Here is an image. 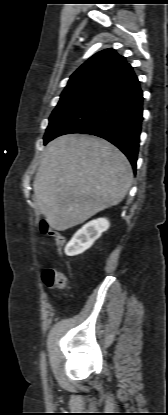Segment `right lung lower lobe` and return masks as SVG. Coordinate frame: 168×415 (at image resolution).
Masks as SVG:
<instances>
[{
    "instance_id": "obj_1",
    "label": "right lung lower lobe",
    "mask_w": 168,
    "mask_h": 415,
    "mask_svg": "<svg viewBox=\"0 0 168 415\" xmlns=\"http://www.w3.org/2000/svg\"><path fill=\"white\" fill-rule=\"evenodd\" d=\"M142 113L143 94L132 71L81 108L47 142L64 134L95 135L117 146L135 170Z\"/></svg>"
}]
</instances>
